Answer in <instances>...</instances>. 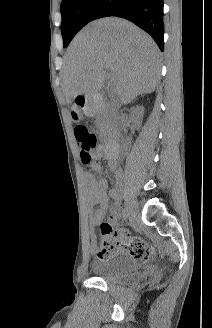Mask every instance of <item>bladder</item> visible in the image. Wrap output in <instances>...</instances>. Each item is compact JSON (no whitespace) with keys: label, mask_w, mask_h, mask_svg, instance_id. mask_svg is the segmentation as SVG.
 <instances>
[{"label":"bladder","mask_w":212,"mask_h":328,"mask_svg":"<svg viewBox=\"0 0 212 328\" xmlns=\"http://www.w3.org/2000/svg\"><path fill=\"white\" fill-rule=\"evenodd\" d=\"M91 269L96 277L117 285L136 284L143 276L137 263L129 262L126 257L121 256L96 260L91 264Z\"/></svg>","instance_id":"obj_1"}]
</instances>
